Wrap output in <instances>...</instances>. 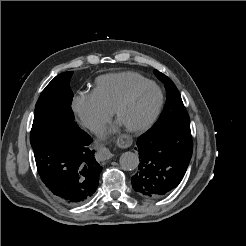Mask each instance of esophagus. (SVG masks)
Returning a JSON list of instances; mask_svg holds the SVG:
<instances>
[{"mask_svg": "<svg viewBox=\"0 0 246 246\" xmlns=\"http://www.w3.org/2000/svg\"><path fill=\"white\" fill-rule=\"evenodd\" d=\"M97 156L101 161L109 160L114 155L110 152V150L106 147H100L97 152Z\"/></svg>", "mask_w": 246, "mask_h": 246, "instance_id": "34e87169", "label": "esophagus"}]
</instances>
